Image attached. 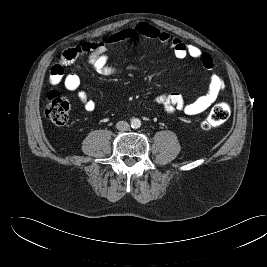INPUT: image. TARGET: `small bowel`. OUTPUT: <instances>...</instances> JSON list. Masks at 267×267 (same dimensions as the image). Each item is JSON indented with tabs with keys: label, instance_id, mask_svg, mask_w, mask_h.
<instances>
[{
	"label": "small bowel",
	"instance_id": "small-bowel-1",
	"mask_svg": "<svg viewBox=\"0 0 267 267\" xmlns=\"http://www.w3.org/2000/svg\"><path fill=\"white\" fill-rule=\"evenodd\" d=\"M136 38L157 40L169 46L176 58L183 59L185 57H191L201 62L205 68L209 70L213 69V60L210 54L202 51L194 44L186 43L146 22H141L134 26L121 29L104 39L83 42L65 49L50 71V83L53 85L63 83L67 90L77 95L86 111H93L96 106L95 102L80 88L79 76L73 72L66 73V67L72 65L79 56L84 55L86 56L89 67L99 75L111 76L125 70L137 71L139 70V66L136 64H130L124 68L112 65L109 62L107 53L110 46ZM224 89L225 83L221 76L212 72L207 92L194 101L187 102L181 94L171 92L158 95L155 97V102L162 105L164 112L168 115H174L177 112L186 115H197L207 110L222 95Z\"/></svg>",
	"mask_w": 267,
	"mask_h": 267
}]
</instances>
